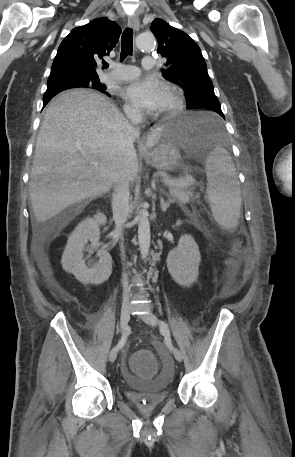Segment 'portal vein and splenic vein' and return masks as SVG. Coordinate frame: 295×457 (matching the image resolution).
Masks as SVG:
<instances>
[{"instance_id":"obj_1","label":"portal vein and splenic vein","mask_w":295,"mask_h":457,"mask_svg":"<svg viewBox=\"0 0 295 457\" xmlns=\"http://www.w3.org/2000/svg\"><path fill=\"white\" fill-rule=\"evenodd\" d=\"M91 165L93 167H98L99 166V162L97 161H94L92 160L91 161ZM194 182V178L191 174H188L186 175L185 177L181 178V179H171V178H165L163 180V183L166 185V186H187L189 185L190 183H193Z\"/></svg>"}]
</instances>
